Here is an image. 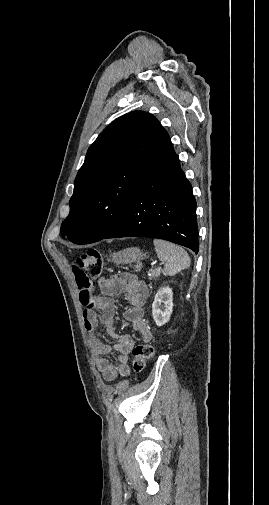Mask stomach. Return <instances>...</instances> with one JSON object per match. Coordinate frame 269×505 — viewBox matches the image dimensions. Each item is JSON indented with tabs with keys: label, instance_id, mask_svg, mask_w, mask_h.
<instances>
[{
	"label": "stomach",
	"instance_id": "1",
	"mask_svg": "<svg viewBox=\"0 0 269 505\" xmlns=\"http://www.w3.org/2000/svg\"><path fill=\"white\" fill-rule=\"evenodd\" d=\"M112 261L118 264H131L139 262L144 257V252L138 247L126 248L122 251L112 254Z\"/></svg>",
	"mask_w": 269,
	"mask_h": 505
}]
</instances>
